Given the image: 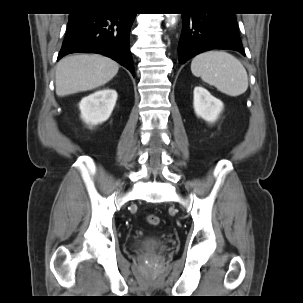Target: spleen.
<instances>
[{
  "mask_svg": "<svg viewBox=\"0 0 303 303\" xmlns=\"http://www.w3.org/2000/svg\"><path fill=\"white\" fill-rule=\"evenodd\" d=\"M191 72L220 92L236 97L248 88V76L242 63L225 51H208L193 58Z\"/></svg>",
  "mask_w": 303,
  "mask_h": 303,
  "instance_id": "obj_1",
  "label": "spleen"
}]
</instances>
